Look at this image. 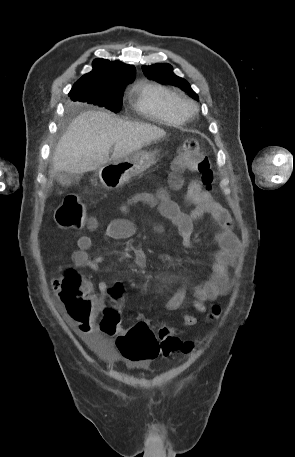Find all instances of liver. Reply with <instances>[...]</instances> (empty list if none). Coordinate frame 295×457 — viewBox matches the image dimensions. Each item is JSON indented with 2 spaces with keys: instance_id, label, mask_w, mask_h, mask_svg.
Listing matches in <instances>:
<instances>
[{
  "instance_id": "liver-1",
  "label": "liver",
  "mask_w": 295,
  "mask_h": 457,
  "mask_svg": "<svg viewBox=\"0 0 295 457\" xmlns=\"http://www.w3.org/2000/svg\"><path fill=\"white\" fill-rule=\"evenodd\" d=\"M166 132L154 125L116 119L105 112L78 115L59 140L53 157L51 178L57 172L82 174L98 169L164 138ZM114 146L109 157L110 148ZM52 185V179L48 187Z\"/></svg>"
}]
</instances>
